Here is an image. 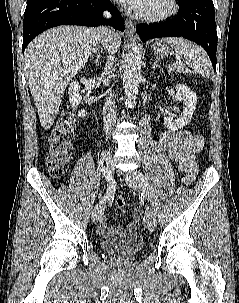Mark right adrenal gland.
I'll use <instances>...</instances> for the list:
<instances>
[{"instance_id": "1", "label": "right adrenal gland", "mask_w": 239, "mask_h": 303, "mask_svg": "<svg viewBox=\"0 0 239 303\" xmlns=\"http://www.w3.org/2000/svg\"><path fill=\"white\" fill-rule=\"evenodd\" d=\"M93 56H96V64H98V63H99V60L101 59V54H100V51H99L98 48H95V49L93 50V55L90 56V59H92Z\"/></svg>"}]
</instances>
